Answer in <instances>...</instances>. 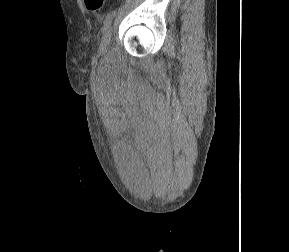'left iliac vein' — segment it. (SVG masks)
Returning <instances> with one entry per match:
<instances>
[{
  "label": "left iliac vein",
  "mask_w": 289,
  "mask_h": 252,
  "mask_svg": "<svg viewBox=\"0 0 289 252\" xmlns=\"http://www.w3.org/2000/svg\"><path fill=\"white\" fill-rule=\"evenodd\" d=\"M110 40H111V28L108 27L103 35H102V39H101V42H100V46H99V50L101 52H104L108 49L109 45H110Z\"/></svg>",
  "instance_id": "4c4485c4"
}]
</instances>
